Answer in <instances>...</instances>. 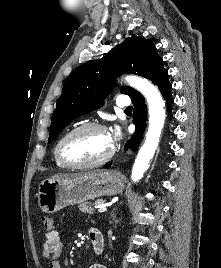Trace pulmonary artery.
<instances>
[{
    "label": "pulmonary artery",
    "mask_w": 221,
    "mask_h": 268,
    "mask_svg": "<svg viewBox=\"0 0 221 268\" xmlns=\"http://www.w3.org/2000/svg\"><path fill=\"white\" fill-rule=\"evenodd\" d=\"M116 104L119 107H128L130 105V99L125 95H120L116 99Z\"/></svg>",
    "instance_id": "obj_1"
}]
</instances>
